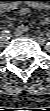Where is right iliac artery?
<instances>
[{"instance_id": "right-iliac-artery-1", "label": "right iliac artery", "mask_w": 50, "mask_h": 111, "mask_svg": "<svg viewBox=\"0 0 50 111\" xmlns=\"http://www.w3.org/2000/svg\"><path fill=\"white\" fill-rule=\"evenodd\" d=\"M2 33L7 37L9 32L8 31H3Z\"/></svg>"}]
</instances>
